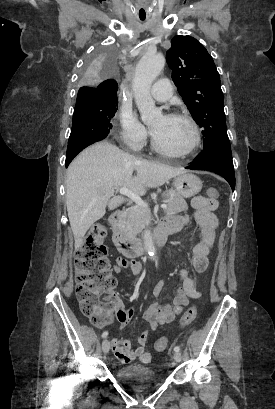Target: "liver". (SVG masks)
Listing matches in <instances>:
<instances>
[{
	"instance_id": "1",
	"label": "liver",
	"mask_w": 275,
	"mask_h": 409,
	"mask_svg": "<svg viewBox=\"0 0 275 409\" xmlns=\"http://www.w3.org/2000/svg\"><path fill=\"white\" fill-rule=\"evenodd\" d=\"M184 172L188 170L138 158L108 140L82 150L66 172V205L75 249L81 247L93 223L104 217L106 207L112 211L124 202L123 196H115L114 188L124 186L135 194H145L146 188L161 186Z\"/></svg>"
}]
</instances>
